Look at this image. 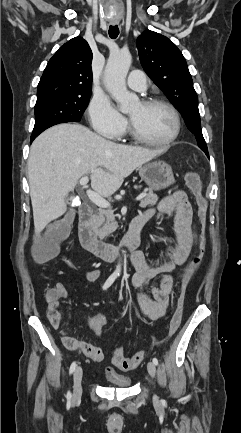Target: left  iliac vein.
Instances as JSON below:
<instances>
[{"instance_id": "1", "label": "left iliac vein", "mask_w": 241, "mask_h": 433, "mask_svg": "<svg viewBox=\"0 0 241 433\" xmlns=\"http://www.w3.org/2000/svg\"><path fill=\"white\" fill-rule=\"evenodd\" d=\"M147 370H148V372H149V374H150L151 377L155 376V374H156V367H155V364L153 362H148V364H147ZM154 398L157 399L156 396H154Z\"/></svg>"}]
</instances>
